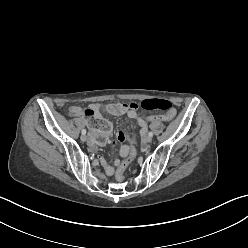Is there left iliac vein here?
<instances>
[{
	"instance_id": "obj_1",
	"label": "left iliac vein",
	"mask_w": 248,
	"mask_h": 248,
	"mask_svg": "<svg viewBox=\"0 0 248 248\" xmlns=\"http://www.w3.org/2000/svg\"><path fill=\"white\" fill-rule=\"evenodd\" d=\"M145 141H146L147 143H150V142L152 141V137L147 136V137L145 138Z\"/></svg>"
}]
</instances>
